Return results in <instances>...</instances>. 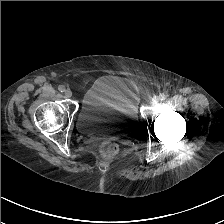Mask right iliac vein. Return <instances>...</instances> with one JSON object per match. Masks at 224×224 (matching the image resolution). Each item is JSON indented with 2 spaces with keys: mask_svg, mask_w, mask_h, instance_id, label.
Returning <instances> with one entry per match:
<instances>
[{
  "mask_svg": "<svg viewBox=\"0 0 224 224\" xmlns=\"http://www.w3.org/2000/svg\"><path fill=\"white\" fill-rule=\"evenodd\" d=\"M65 97L70 98L72 96V91L70 89L65 90L64 92Z\"/></svg>",
  "mask_w": 224,
  "mask_h": 224,
  "instance_id": "1",
  "label": "right iliac vein"
}]
</instances>
